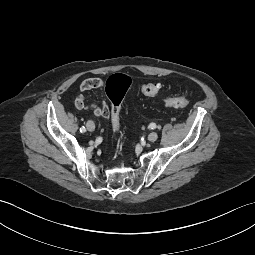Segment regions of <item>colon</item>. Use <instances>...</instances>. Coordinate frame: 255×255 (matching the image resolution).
Instances as JSON below:
<instances>
[{
  "label": "colon",
  "mask_w": 255,
  "mask_h": 255,
  "mask_svg": "<svg viewBox=\"0 0 255 255\" xmlns=\"http://www.w3.org/2000/svg\"><path fill=\"white\" fill-rule=\"evenodd\" d=\"M131 86V79L121 73L111 75L106 81V93L111 102V126L114 133L120 129L119 113L121 102ZM141 92L145 96L155 97L160 93V87L156 84L147 83L142 85ZM163 102L173 108H185L190 100L187 97H165Z\"/></svg>",
  "instance_id": "1"
}]
</instances>
